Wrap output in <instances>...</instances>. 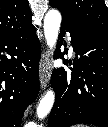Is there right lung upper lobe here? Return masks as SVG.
Returning <instances> with one entry per match:
<instances>
[{
    "instance_id": "right-lung-upper-lobe-1",
    "label": "right lung upper lobe",
    "mask_w": 108,
    "mask_h": 127,
    "mask_svg": "<svg viewBox=\"0 0 108 127\" xmlns=\"http://www.w3.org/2000/svg\"><path fill=\"white\" fill-rule=\"evenodd\" d=\"M28 0H0V36L27 30L32 25Z\"/></svg>"
}]
</instances>
